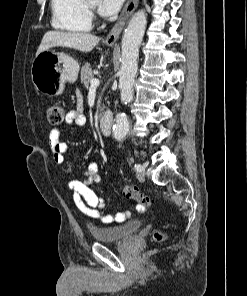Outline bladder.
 Masks as SVG:
<instances>
[{
  "label": "bladder",
  "mask_w": 247,
  "mask_h": 296,
  "mask_svg": "<svg viewBox=\"0 0 247 296\" xmlns=\"http://www.w3.org/2000/svg\"><path fill=\"white\" fill-rule=\"evenodd\" d=\"M143 226L141 220H131L115 226L90 227L92 237L99 242H115L127 239Z\"/></svg>",
  "instance_id": "obj_1"
}]
</instances>
